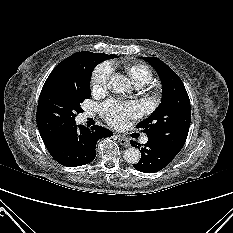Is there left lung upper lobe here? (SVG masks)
Instances as JSON below:
<instances>
[{"instance_id": "obj_1", "label": "left lung upper lobe", "mask_w": 233, "mask_h": 233, "mask_svg": "<svg viewBox=\"0 0 233 233\" xmlns=\"http://www.w3.org/2000/svg\"><path fill=\"white\" fill-rule=\"evenodd\" d=\"M158 73L162 83V99L158 108L137 127L153 139L178 154L186 141L190 122V100L180 77L156 57H142Z\"/></svg>"}]
</instances>
